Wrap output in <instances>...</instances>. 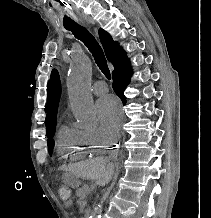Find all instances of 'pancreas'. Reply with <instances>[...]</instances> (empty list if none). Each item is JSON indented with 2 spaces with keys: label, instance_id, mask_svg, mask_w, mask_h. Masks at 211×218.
Masks as SVG:
<instances>
[{
  "label": "pancreas",
  "instance_id": "cf45deb5",
  "mask_svg": "<svg viewBox=\"0 0 211 218\" xmlns=\"http://www.w3.org/2000/svg\"><path fill=\"white\" fill-rule=\"evenodd\" d=\"M90 186H79V190H75V195H89Z\"/></svg>",
  "mask_w": 211,
  "mask_h": 218
}]
</instances>
